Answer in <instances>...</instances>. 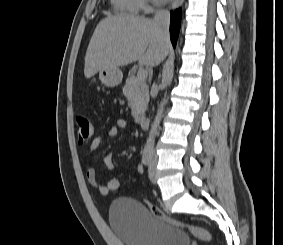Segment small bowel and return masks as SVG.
<instances>
[{"label":"small bowel","mask_w":283,"mask_h":245,"mask_svg":"<svg viewBox=\"0 0 283 245\" xmlns=\"http://www.w3.org/2000/svg\"><path fill=\"white\" fill-rule=\"evenodd\" d=\"M129 128L130 124L127 120L118 119L114 125L107 127L103 131H101L90 144L85 173L88 182L97 189L100 195H107L109 192L107 190L106 184L100 181L95 168L91 165L90 158L105 140L115 137L118 134L119 130H127ZM104 164L106 172H110L114 169V163L110 154H106L104 156ZM136 171L137 173L141 174L143 172V166L141 164H137Z\"/></svg>","instance_id":"small-bowel-1"}]
</instances>
